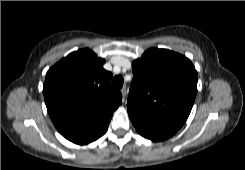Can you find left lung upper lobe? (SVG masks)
<instances>
[{
	"label": "left lung upper lobe",
	"instance_id": "left-lung-upper-lobe-1",
	"mask_svg": "<svg viewBox=\"0 0 245 170\" xmlns=\"http://www.w3.org/2000/svg\"><path fill=\"white\" fill-rule=\"evenodd\" d=\"M132 67L128 113L179 130L197 93V72L191 61L170 50L151 48Z\"/></svg>",
	"mask_w": 245,
	"mask_h": 170
}]
</instances>
